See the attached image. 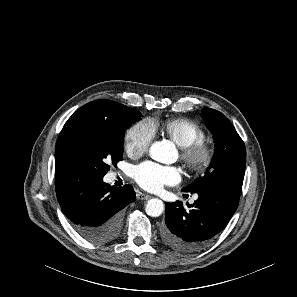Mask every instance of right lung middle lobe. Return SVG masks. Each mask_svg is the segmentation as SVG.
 Returning <instances> with one entry per match:
<instances>
[{
	"mask_svg": "<svg viewBox=\"0 0 297 297\" xmlns=\"http://www.w3.org/2000/svg\"><path fill=\"white\" fill-rule=\"evenodd\" d=\"M120 124L115 128L75 125L61 146V160L65 169L82 170L104 176L123 159L125 130L140 119L141 113L120 104Z\"/></svg>",
	"mask_w": 297,
	"mask_h": 297,
	"instance_id": "1",
	"label": "right lung middle lobe"
}]
</instances>
